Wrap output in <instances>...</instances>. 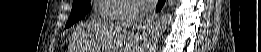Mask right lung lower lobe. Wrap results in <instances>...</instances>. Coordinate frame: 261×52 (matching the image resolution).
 I'll list each match as a JSON object with an SVG mask.
<instances>
[{
	"instance_id": "right-lung-lower-lobe-1",
	"label": "right lung lower lobe",
	"mask_w": 261,
	"mask_h": 52,
	"mask_svg": "<svg viewBox=\"0 0 261 52\" xmlns=\"http://www.w3.org/2000/svg\"><path fill=\"white\" fill-rule=\"evenodd\" d=\"M165 0H159V4H158V10H160L164 4Z\"/></svg>"
}]
</instances>
